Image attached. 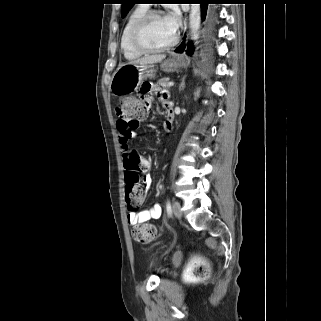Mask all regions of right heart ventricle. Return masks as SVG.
Returning a JSON list of instances; mask_svg holds the SVG:
<instances>
[{"mask_svg":"<svg viewBox=\"0 0 321 321\" xmlns=\"http://www.w3.org/2000/svg\"><path fill=\"white\" fill-rule=\"evenodd\" d=\"M147 12L146 6H138L136 7L128 16V18L125 21V24L123 26L121 36H120V48L121 52L125 59L127 60H134L139 57L143 53L137 51L133 48L130 42V34L132 31V28L136 21L145 13Z\"/></svg>","mask_w":321,"mask_h":321,"instance_id":"1","label":"right heart ventricle"}]
</instances>
